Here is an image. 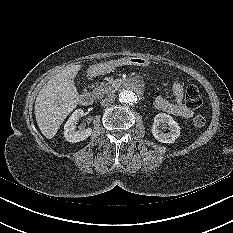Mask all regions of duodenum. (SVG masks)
I'll return each mask as SVG.
<instances>
[{"label": "duodenum", "mask_w": 233, "mask_h": 233, "mask_svg": "<svg viewBox=\"0 0 233 233\" xmlns=\"http://www.w3.org/2000/svg\"><path fill=\"white\" fill-rule=\"evenodd\" d=\"M123 84L120 81L115 82V84L112 85H104L102 88L97 89V98L98 99H103L107 97L108 92L114 91H119L122 89ZM80 103L84 106H89L92 103V96L90 93H83L80 96Z\"/></svg>", "instance_id": "duodenum-1"}]
</instances>
